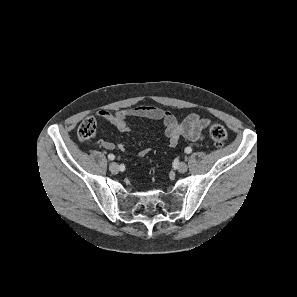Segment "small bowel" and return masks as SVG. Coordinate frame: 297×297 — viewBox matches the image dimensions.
Returning a JSON list of instances; mask_svg holds the SVG:
<instances>
[{
	"instance_id": "1",
	"label": "small bowel",
	"mask_w": 297,
	"mask_h": 297,
	"mask_svg": "<svg viewBox=\"0 0 297 297\" xmlns=\"http://www.w3.org/2000/svg\"><path fill=\"white\" fill-rule=\"evenodd\" d=\"M97 117L107 120L113 124L119 131L128 132L130 127L127 120L130 118H146L160 121L164 127V135L168 144L174 147L179 140L184 138L189 141H200L203 138V132L208 126V120L192 113L179 121L173 114L151 105H139L118 111H109L102 109L97 112ZM97 143L107 150L118 148L124 150L123 144H115L106 140H98ZM150 153V148H143L138 152L139 157H145Z\"/></svg>"
}]
</instances>
